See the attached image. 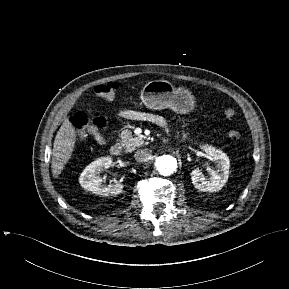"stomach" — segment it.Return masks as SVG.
I'll use <instances>...</instances> for the list:
<instances>
[{"mask_svg":"<svg viewBox=\"0 0 289 289\" xmlns=\"http://www.w3.org/2000/svg\"><path fill=\"white\" fill-rule=\"evenodd\" d=\"M142 103L149 109L169 108L180 114H187L194 109L195 99L188 89L175 88L169 81L153 80L141 91Z\"/></svg>","mask_w":289,"mask_h":289,"instance_id":"0dacf381","label":"stomach"}]
</instances>
